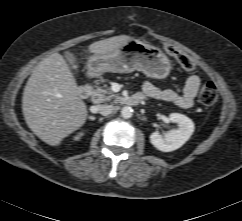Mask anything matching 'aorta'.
<instances>
[{"instance_id": "obj_1", "label": "aorta", "mask_w": 242, "mask_h": 221, "mask_svg": "<svg viewBox=\"0 0 242 221\" xmlns=\"http://www.w3.org/2000/svg\"><path fill=\"white\" fill-rule=\"evenodd\" d=\"M132 115H133V109L131 107L125 106V107L122 108L121 116L124 119H129V118L132 117Z\"/></svg>"}]
</instances>
